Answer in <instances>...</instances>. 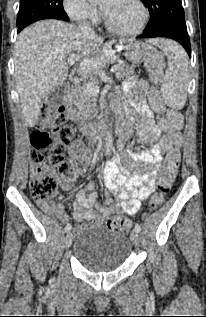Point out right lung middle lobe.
Segmentation results:
<instances>
[{"instance_id": "obj_1", "label": "right lung middle lobe", "mask_w": 206, "mask_h": 317, "mask_svg": "<svg viewBox=\"0 0 206 317\" xmlns=\"http://www.w3.org/2000/svg\"><path fill=\"white\" fill-rule=\"evenodd\" d=\"M63 0H20L17 27L21 31L27 25L43 19L66 20Z\"/></svg>"}]
</instances>
